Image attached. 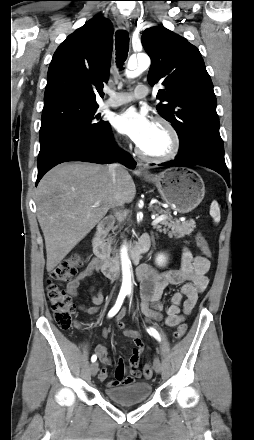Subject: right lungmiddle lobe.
<instances>
[{
    "label": "right lung middle lobe",
    "mask_w": 254,
    "mask_h": 440,
    "mask_svg": "<svg viewBox=\"0 0 254 440\" xmlns=\"http://www.w3.org/2000/svg\"><path fill=\"white\" fill-rule=\"evenodd\" d=\"M96 102L59 98L44 104L38 163L56 147L101 136L108 122L99 121Z\"/></svg>",
    "instance_id": "dd1d6c3e"
}]
</instances>
